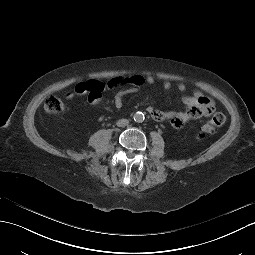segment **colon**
<instances>
[{
    "label": "colon",
    "instance_id": "1",
    "mask_svg": "<svg viewBox=\"0 0 255 255\" xmlns=\"http://www.w3.org/2000/svg\"><path fill=\"white\" fill-rule=\"evenodd\" d=\"M64 109V102L56 96L49 97L45 102V110L50 114H58ZM225 121V115L221 112H216L208 121L201 125L199 132L201 135L212 134L221 127Z\"/></svg>",
    "mask_w": 255,
    "mask_h": 255
}]
</instances>
